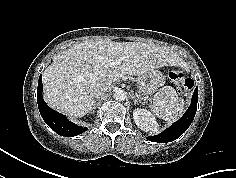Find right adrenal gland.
Here are the masks:
<instances>
[{
	"label": "right adrenal gland",
	"mask_w": 236,
	"mask_h": 178,
	"mask_svg": "<svg viewBox=\"0 0 236 178\" xmlns=\"http://www.w3.org/2000/svg\"><path fill=\"white\" fill-rule=\"evenodd\" d=\"M98 99H99V97H96V99L94 100V104H93V107L91 109V111H93V113H94V110L96 109V103H97Z\"/></svg>",
	"instance_id": "1"
}]
</instances>
